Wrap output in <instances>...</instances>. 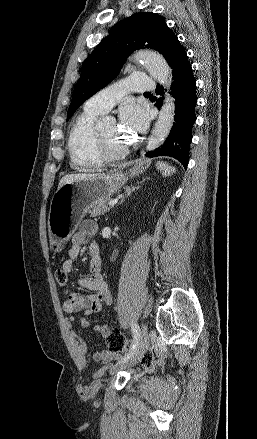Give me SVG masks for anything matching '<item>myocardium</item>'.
Listing matches in <instances>:
<instances>
[{"mask_svg": "<svg viewBox=\"0 0 257 439\" xmlns=\"http://www.w3.org/2000/svg\"><path fill=\"white\" fill-rule=\"evenodd\" d=\"M97 146L102 155L103 159L106 160H115L125 156L128 152L129 147L123 146L118 149H112L109 147L105 137L101 132L97 134Z\"/></svg>", "mask_w": 257, "mask_h": 439, "instance_id": "1", "label": "myocardium"}]
</instances>
